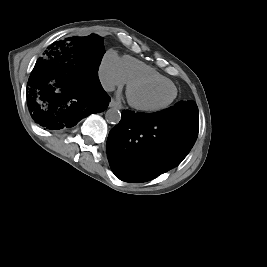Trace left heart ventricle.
<instances>
[{
    "mask_svg": "<svg viewBox=\"0 0 267 267\" xmlns=\"http://www.w3.org/2000/svg\"><path fill=\"white\" fill-rule=\"evenodd\" d=\"M174 88L168 84H148L134 87L131 97L146 106H160L172 99Z\"/></svg>",
    "mask_w": 267,
    "mask_h": 267,
    "instance_id": "1",
    "label": "left heart ventricle"
}]
</instances>
